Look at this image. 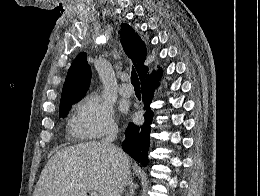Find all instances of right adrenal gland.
<instances>
[{"label":"right adrenal gland","instance_id":"1","mask_svg":"<svg viewBox=\"0 0 260 196\" xmlns=\"http://www.w3.org/2000/svg\"><path fill=\"white\" fill-rule=\"evenodd\" d=\"M134 186H129V194H125V196H134Z\"/></svg>","mask_w":260,"mask_h":196}]
</instances>
